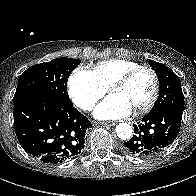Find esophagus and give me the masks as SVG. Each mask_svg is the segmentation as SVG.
Listing matches in <instances>:
<instances>
[{
    "label": "esophagus",
    "instance_id": "obj_1",
    "mask_svg": "<svg viewBox=\"0 0 196 196\" xmlns=\"http://www.w3.org/2000/svg\"><path fill=\"white\" fill-rule=\"evenodd\" d=\"M101 124L105 125V126H113L115 124V122L108 121V122H102Z\"/></svg>",
    "mask_w": 196,
    "mask_h": 196
}]
</instances>
